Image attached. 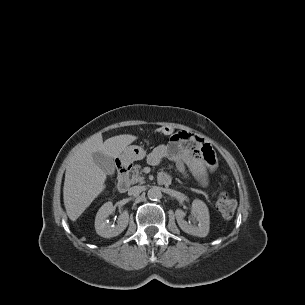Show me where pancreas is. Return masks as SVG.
Segmentation results:
<instances>
[{
	"label": "pancreas",
	"instance_id": "pancreas-1",
	"mask_svg": "<svg viewBox=\"0 0 305 305\" xmlns=\"http://www.w3.org/2000/svg\"><path fill=\"white\" fill-rule=\"evenodd\" d=\"M131 178L129 179L130 184H136L140 183L143 184L145 183L144 181V176L141 172V166L140 165H135L134 169L131 171Z\"/></svg>",
	"mask_w": 305,
	"mask_h": 305
}]
</instances>
